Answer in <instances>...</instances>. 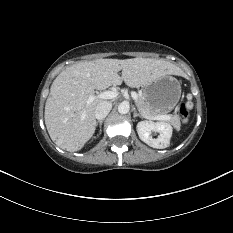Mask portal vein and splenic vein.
Here are the masks:
<instances>
[{"instance_id": "1", "label": "portal vein and splenic vein", "mask_w": 233, "mask_h": 233, "mask_svg": "<svg viewBox=\"0 0 233 233\" xmlns=\"http://www.w3.org/2000/svg\"><path fill=\"white\" fill-rule=\"evenodd\" d=\"M118 92L117 91H104V92H101L100 94L98 95H90L87 99V104H90L91 102H93L95 99H113L115 97L118 96ZM131 96L132 98L136 101L137 98H138V95L136 92H132L131 93ZM144 115V114H143ZM145 118H148V119H152V120H159V121H168L171 119V115H157V116H146L144 115ZM84 118V116H83Z\"/></svg>"}]
</instances>
